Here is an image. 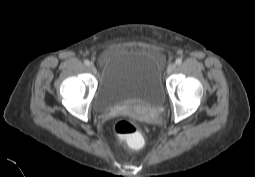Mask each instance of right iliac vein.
Listing matches in <instances>:
<instances>
[{"instance_id": "63e3f726", "label": "right iliac vein", "mask_w": 255, "mask_h": 177, "mask_svg": "<svg viewBox=\"0 0 255 177\" xmlns=\"http://www.w3.org/2000/svg\"><path fill=\"white\" fill-rule=\"evenodd\" d=\"M88 69L93 74L97 73V69H96V67L94 65H89Z\"/></svg>"}]
</instances>
